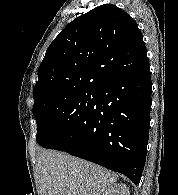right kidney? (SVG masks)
Returning <instances> with one entry per match:
<instances>
[{"mask_svg":"<svg viewBox=\"0 0 178 195\" xmlns=\"http://www.w3.org/2000/svg\"><path fill=\"white\" fill-rule=\"evenodd\" d=\"M102 195H130L129 188L122 183L108 187Z\"/></svg>","mask_w":178,"mask_h":195,"instance_id":"obj_1","label":"right kidney"}]
</instances>
